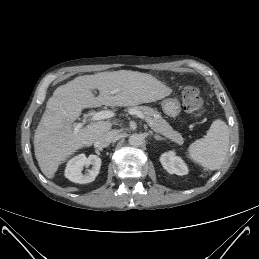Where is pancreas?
Here are the masks:
<instances>
[{"mask_svg":"<svg viewBox=\"0 0 259 259\" xmlns=\"http://www.w3.org/2000/svg\"><path fill=\"white\" fill-rule=\"evenodd\" d=\"M131 110L140 111L145 116L148 125L153 131L165 136L178 145L184 143L182 135L175 131L169 123L161 117L157 110L148 106H133L129 108V111Z\"/></svg>","mask_w":259,"mask_h":259,"instance_id":"cf45deb5","label":"pancreas"}]
</instances>
